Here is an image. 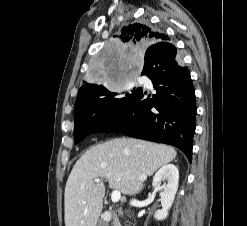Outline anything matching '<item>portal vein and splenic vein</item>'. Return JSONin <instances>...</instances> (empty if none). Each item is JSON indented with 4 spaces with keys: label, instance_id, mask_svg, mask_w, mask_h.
Segmentation results:
<instances>
[{
    "label": "portal vein and splenic vein",
    "instance_id": "18ae733b",
    "mask_svg": "<svg viewBox=\"0 0 247 226\" xmlns=\"http://www.w3.org/2000/svg\"><path fill=\"white\" fill-rule=\"evenodd\" d=\"M95 182H96V183H100L101 180H100V179H95ZM120 198H121V193H120V191L114 190V191L112 192V194H111V200H112V202L116 203V202H118V201L120 200Z\"/></svg>",
    "mask_w": 247,
    "mask_h": 226
}]
</instances>
